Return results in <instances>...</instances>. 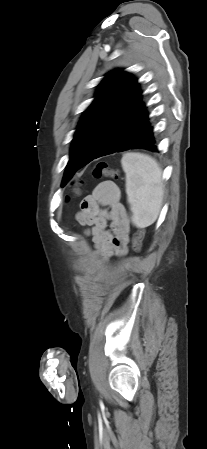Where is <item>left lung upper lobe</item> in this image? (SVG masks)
Listing matches in <instances>:
<instances>
[{"instance_id": "5c2ea615", "label": "left lung upper lobe", "mask_w": 207, "mask_h": 449, "mask_svg": "<svg viewBox=\"0 0 207 449\" xmlns=\"http://www.w3.org/2000/svg\"><path fill=\"white\" fill-rule=\"evenodd\" d=\"M96 99L84 112L71 146L62 187L73 174L91 162L114 127L141 104L136 79L122 70L107 74L99 84Z\"/></svg>"}]
</instances>
